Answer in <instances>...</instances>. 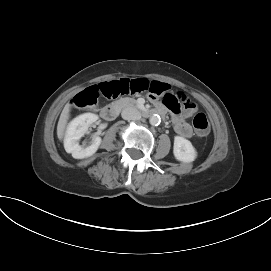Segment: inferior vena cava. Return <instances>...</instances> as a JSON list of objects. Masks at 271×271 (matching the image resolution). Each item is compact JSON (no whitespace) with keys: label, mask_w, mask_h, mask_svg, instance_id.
Wrapping results in <instances>:
<instances>
[{"label":"inferior vena cava","mask_w":271,"mask_h":271,"mask_svg":"<svg viewBox=\"0 0 271 271\" xmlns=\"http://www.w3.org/2000/svg\"><path fill=\"white\" fill-rule=\"evenodd\" d=\"M121 116L125 120H139L141 118L140 112L134 107L125 108L122 111Z\"/></svg>","instance_id":"obj_1"}]
</instances>
